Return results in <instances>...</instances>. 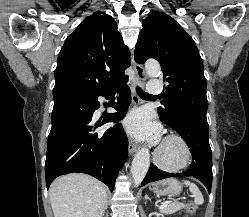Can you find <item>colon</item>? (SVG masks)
<instances>
[{
    "instance_id": "colon-1",
    "label": "colon",
    "mask_w": 249,
    "mask_h": 217,
    "mask_svg": "<svg viewBox=\"0 0 249 217\" xmlns=\"http://www.w3.org/2000/svg\"><path fill=\"white\" fill-rule=\"evenodd\" d=\"M186 211L187 217L192 216L196 211V206L193 203H189Z\"/></svg>"
}]
</instances>
